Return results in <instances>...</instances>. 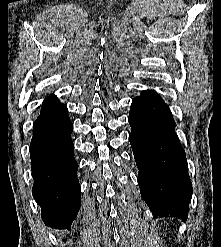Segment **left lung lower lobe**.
Returning a JSON list of instances; mask_svg holds the SVG:
<instances>
[{
	"label": "left lung lower lobe",
	"instance_id": "obj_1",
	"mask_svg": "<svg viewBox=\"0 0 221 247\" xmlns=\"http://www.w3.org/2000/svg\"><path fill=\"white\" fill-rule=\"evenodd\" d=\"M128 122L141 196L153 217L186 220L192 183L168 106L161 97L144 91L132 100Z\"/></svg>",
	"mask_w": 221,
	"mask_h": 247
}]
</instances>
